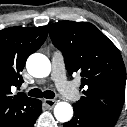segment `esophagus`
<instances>
[{"instance_id": "34e87169", "label": "esophagus", "mask_w": 127, "mask_h": 127, "mask_svg": "<svg viewBox=\"0 0 127 127\" xmlns=\"http://www.w3.org/2000/svg\"><path fill=\"white\" fill-rule=\"evenodd\" d=\"M56 103H57V101L53 100V99H45L44 100V104L47 106L48 109H53V107L55 106Z\"/></svg>"}]
</instances>
